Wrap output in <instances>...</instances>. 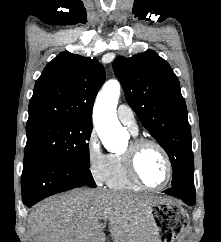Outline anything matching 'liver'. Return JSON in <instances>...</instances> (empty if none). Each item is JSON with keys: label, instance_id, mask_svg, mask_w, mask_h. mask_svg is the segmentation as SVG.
<instances>
[{"label": "liver", "instance_id": "6515ba94", "mask_svg": "<svg viewBox=\"0 0 221 242\" xmlns=\"http://www.w3.org/2000/svg\"><path fill=\"white\" fill-rule=\"evenodd\" d=\"M160 197L74 189L38 203L28 217L35 242H105L108 222L113 242H154L149 206ZM104 221V223L101 222Z\"/></svg>", "mask_w": 221, "mask_h": 242}]
</instances>
